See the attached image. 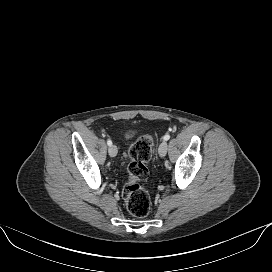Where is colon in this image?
<instances>
[{"mask_svg":"<svg viewBox=\"0 0 272 272\" xmlns=\"http://www.w3.org/2000/svg\"><path fill=\"white\" fill-rule=\"evenodd\" d=\"M153 140L145 135L138 138L130 147L128 155V180L126 181L122 195L130 214L135 217H146L151 209V201L148 192L141 186L149 172L146 166L152 155Z\"/></svg>","mask_w":272,"mask_h":272,"instance_id":"5ec220e1","label":"colon"}]
</instances>
